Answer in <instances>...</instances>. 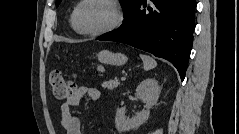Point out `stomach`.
I'll return each instance as SVG.
<instances>
[{
  "label": "stomach",
  "mask_w": 239,
  "mask_h": 134,
  "mask_svg": "<svg viewBox=\"0 0 239 134\" xmlns=\"http://www.w3.org/2000/svg\"><path fill=\"white\" fill-rule=\"evenodd\" d=\"M101 63L121 66L127 62V57L121 53H113L109 50H102L97 54Z\"/></svg>",
  "instance_id": "stomach-1"
}]
</instances>
